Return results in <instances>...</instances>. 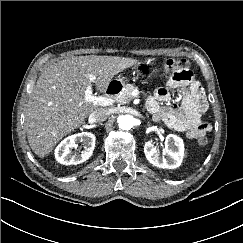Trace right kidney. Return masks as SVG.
I'll return each mask as SVG.
<instances>
[{
    "label": "right kidney",
    "instance_id": "right-kidney-1",
    "mask_svg": "<svg viewBox=\"0 0 243 243\" xmlns=\"http://www.w3.org/2000/svg\"><path fill=\"white\" fill-rule=\"evenodd\" d=\"M96 137L90 132H82L66 137L55 149L56 160L64 165H77L88 160L95 148ZM82 143L83 150L74 153L73 148L77 149L78 144Z\"/></svg>",
    "mask_w": 243,
    "mask_h": 243
}]
</instances>
